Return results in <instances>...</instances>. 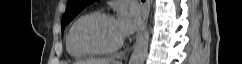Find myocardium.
I'll return each instance as SVG.
<instances>
[{"mask_svg":"<svg viewBox=\"0 0 242 64\" xmlns=\"http://www.w3.org/2000/svg\"><path fill=\"white\" fill-rule=\"evenodd\" d=\"M99 19H113V16L109 13L105 12H91L86 14L84 17H82L77 24L74 27L73 30V42L75 46L81 50L82 52H85L87 54H96V55H107L114 53L118 49H120L123 45V40L121 39L118 43L111 47L101 48V47H95L91 46L85 42H83L80 38V30L81 28L86 25L87 23L99 20Z\"/></svg>","mask_w":242,"mask_h":64,"instance_id":"f54148a6","label":"myocardium"}]
</instances>
